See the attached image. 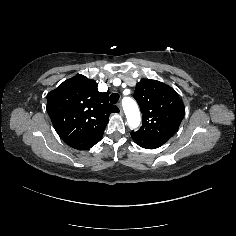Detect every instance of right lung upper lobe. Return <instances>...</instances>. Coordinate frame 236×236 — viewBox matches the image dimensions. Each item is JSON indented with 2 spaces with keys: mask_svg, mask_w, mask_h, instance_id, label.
<instances>
[{
  "mask_svg": "<svg viewBox=\"0 0 236 236\" xmlns=\"http://www.w3.org/2000/svg\"><path fill=\"white\" fill-rule=\"evenodd\" d=\"M95 80L76 75L47 95V112L60 138L72 148L86 150L101 140L109 115L119 112L101 93Z\"/></svg>",
  "mask_w": 236,
  "mask_h": 236,
  "instance_id": "obj_1",
  "label": "right lung upper lobe"
}]
</instances>
